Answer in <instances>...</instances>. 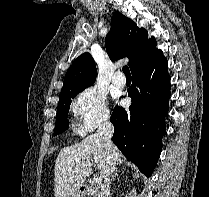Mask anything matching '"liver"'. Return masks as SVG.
Segmentation results:
<instances>
[{
    "label": "liver",
    "mask_w": 209,
    "mask_h": 197,
    "mask_svg": "<svg viewBox=\"0 0 209 197\" xmlns=\"http://www.w3.org/2000/svg\"><path fill=\"white\" fill-rule=\"evenodd\" d=\"M115 147V162H123L121 152ZM93 161L103 178L107 164L106 146L97 134H92L82 142L62 148L56 158L54 167L55 197H69L79 189L92 173Z\"/></svg>",
    "instance_id": "obj_1"
}]
</instances>
